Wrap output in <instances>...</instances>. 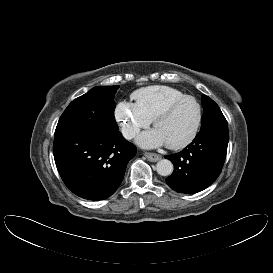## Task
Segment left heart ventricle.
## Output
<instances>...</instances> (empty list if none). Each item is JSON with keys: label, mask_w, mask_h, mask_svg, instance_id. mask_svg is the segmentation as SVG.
Masks as SVG:
<instances>
[{"label": "left heart ventricle", "mask_w": 273, "mask_h": 273, "mask_svg": "<svg viewBox=\"0 0 273 273\" xmlns=\"http://www.w3.org/2000/svg\"><path fill=\"white\" fill-rule=\"evenodd\" d=\"M197 119V107L191 100L177 105L170 115L160 120L155 129L162 135L166 144H177L192 132Z\"/></svg>", "instance_id": "left-heart-ventricle-1"}]
</instances>
